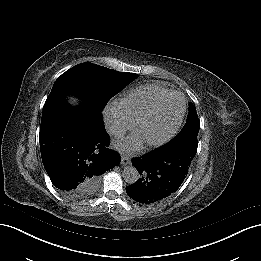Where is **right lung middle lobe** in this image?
Masks as SVG:
<instances>
[{
	"label": "right lung middle lobe",
	"mask_w": 261,
	"mask_h": 261,
	"mask_svg": "<svg viewBox=\"0 0 261 261\" xmlns=\"http://www.w3.org/2000/svg\"><path fill=\"white\" fill-rule=\"evenodd\" d=\"M138 75L118 72L92 63H82L62 74L54 83L50 95L79 96L83 102L102 111L106 103ZM96 182L85 186L79 194L94 190Z\"/></svg>",
	"instance_id": "right-lung-middle-lobe-1"
}]
</instances>
